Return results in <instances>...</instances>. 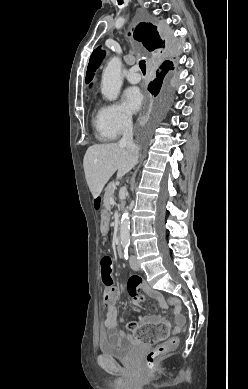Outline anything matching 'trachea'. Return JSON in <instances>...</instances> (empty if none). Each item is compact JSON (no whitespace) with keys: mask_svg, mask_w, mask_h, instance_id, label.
Segmentation results:
<instances>
[{"mask_svg":"<svg viewBox=\"0 0 248 389\" xmlns=\"http://www.w3.org/2000/svg\"><path fill=\"white\" fill-rule=\"evenodd\" d=\"M118 3H119V5H121V4L123 3V1H122V0H118ZM139 67H140V69H141V71H142L143 73L146 72V63H145V60H141V61L139 62Z\"/></svg>","mask_w":248,"mask_h":389,"instance_id":"1","label":"trachea"}]
</instances>
